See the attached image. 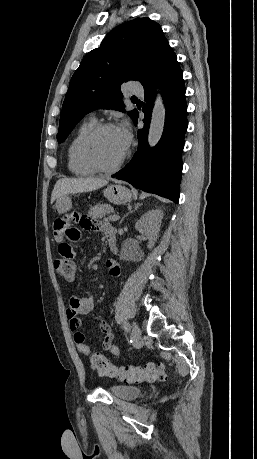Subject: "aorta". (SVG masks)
Here are the masks:
<instances>
[{"instance_id": "1", "label": "aorta", "mask_w": 257, "mask_h": 459, "mask_svg": "<svg viewBox=\"0 0 257 459\" xmlns=\"http://www.w3.org/2000/svg\"><path fill=\"white\" fill-rule=\"evenodd\" d=\"M165 106L163 104V100L160 94L157 95L155 105L152 111V117L149 127V134H148V143L151 147L155 146L164 130L165 124Z\"/></svg>"}]
</instances>
